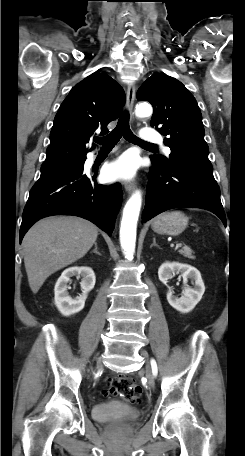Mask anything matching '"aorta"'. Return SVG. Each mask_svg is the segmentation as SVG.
Here are the masks:
<instances>
[{"instance_id":"1","label":"aorta","mask_w":245,"mask_h":456,"mask_svg":"<svg viewBox=\"0 0 245 456\" xmlns=\"http://www.w3.org/2000/svg\"><path fill=\"white\" fill-rule=\"evenodd\" d=\"M152 106L149 103H140L136 107L138 117H148L152 114ZM142 204L140 191H135L127 201L120 227V243L122 251L127 259H132L135 252L137 221Z\"/></svg>"}]
</instances>
